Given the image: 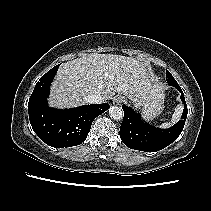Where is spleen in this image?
Wrapping results in <instances>:
<instances>
[{
    "label": "spleen",
    "instance_id": "spleen-1",
    "mask_svg": "<svg viewBox=\"0 0 211 211\" xmlns=\"http://www.w3.org/2000/svg\"><path fill=\"white\" fill-rule=\"evenodd\" d=\"M182 110H183V106L181 104L177 105V107L175 108V111L172 115L171 121L161 124L160 127L168 128L171 125L175 124L179 120V118L181 117Z\"/></svg>",
    "mask_w": 211,
    "mask_h": 211
}]
</instances>
